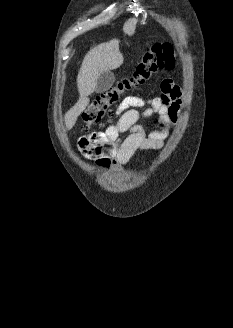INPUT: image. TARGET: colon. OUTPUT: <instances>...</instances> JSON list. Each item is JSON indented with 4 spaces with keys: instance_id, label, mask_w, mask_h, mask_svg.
<instances>
[{
    "instance_id": "colon-1",
    "label": "colon",
    "mask_w": 233,
    "mask_h": 328,
    "mask_svg": "<svg viewBox=\"0 0 233 328\" xmlns=\"http://www.w3.org/2000/svg\"><path fill=\"white\" fill-rule=\"evenodd\" d=\"M177 65L176 52L169 43H157L145 49L134 73L122 80L107 91L96 96L88 105L82 119L84 129H92L100 120L110 112V108L118 103L125 92L146 83L159 70H172ZM158 126H166L162 119H156ZM107 164V160H102Z\"/></svg>"
}]
</instances>
